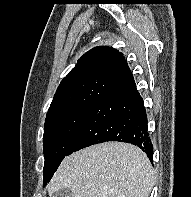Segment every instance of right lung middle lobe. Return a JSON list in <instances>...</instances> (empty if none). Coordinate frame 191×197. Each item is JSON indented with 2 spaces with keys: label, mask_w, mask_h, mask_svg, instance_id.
Returning a JSON list of instances; mask_svg holds the SVG:
<instances>
[{
  "label": "right lung middle lobe",
  "mask_w": 191,
  "mask_h": 197,
  "mask_svg": "<svg viewBox=\"0 0 191 197\" xmlns=\"http://www.w3.org/2000/svg\"><path fill=\"white\" fill-rule=\"evenodd\" d=\"M93 107L94 105L78 106L46 117L43 136L44 186L67 155Z\"/></svg>",
  "instance_id": "right-lung-middle-lobe-1"
}]
</instances>
